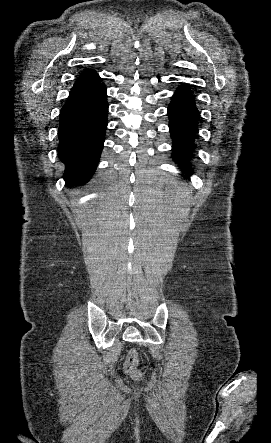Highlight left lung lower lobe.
I'll list each match as a JSON object with an SVG mask.
<instances>
[{"instance_id": "1", "label": "left lung lower lobe", "mask_w": 271, "mask_h": 443, "mask_svg": "<svg viewBox=\"0 0 271 443\" xmlns=\"http://www.w3.org/2000/svg\"><path fill=\"white\" fill-rule=\"evenodd\" d=\"M199 115L194 95L185 84H181L168 107L169 128L173 139V159L189 175L194 173L189 162L196 148L194 142L197 138Z\"/></svg>"}]
</instances>
